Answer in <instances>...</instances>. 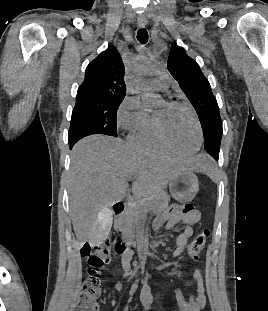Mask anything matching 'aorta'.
Masks as SVG:
<instances>
[{
	"label": "aorta",
	"mask_w": 268,
	"mask_h": 311,
	"mask_svg": "<svg viewBox=\"0 0 268 311\" xmlns=\"http://www.w3.org/2000/svg\"><path fill=\"white\" fill-rule=\"evenodd\" d=\"M157 69V62L153 59H145L140 61L136 66L138 80L136 89L147 100V105H157L160 102V97L151 93V89L146 81V76L153 74Z\"/></svg>",
	"instance_id": "obj_1"
}]
</instances>
